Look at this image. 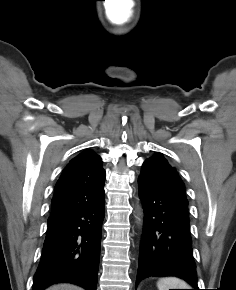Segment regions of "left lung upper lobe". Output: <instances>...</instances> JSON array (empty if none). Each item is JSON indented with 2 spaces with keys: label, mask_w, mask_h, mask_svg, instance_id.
<instances>
[{
  "label": "left lung upper lobe",
  "mask_w": 236,
  "mask_h": 290,
  "mask_svg": "<svg viewBox=\"0 0 236 290\" xmlns=\"http://www.w3.org/2000/svg\"><path fill=\"white\" fill-rule=\"evenodd\" d=\"M139 177L175 189L185 196L182 180L161 153H156L144 161Z\"/></svg>",
  "instance_id": "5c2ea615"
}]
</instances>
